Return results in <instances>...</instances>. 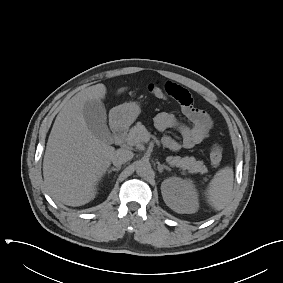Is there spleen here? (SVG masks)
Segmentation results:
<instances>
[{
    "mask_svg": "<svg viewBox=\"0 0 283 283\" xmlns=\"http://www.w3.org/2000/svg\"><path fill=\"white\" fill-rule=\"evenodd\" d=\"M233 183L232 167L226 166L214 175L206 190V196L215 210L220 211L229 203L232 198Z\"/></svg>",
    "mask_w": 283,
    "mask_h": 283,
    "instance_id": "3e777b00",
    "label": "spleen"
}]
</instances>
